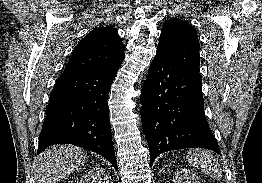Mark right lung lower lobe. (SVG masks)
<instances>
[{
	"label": "right lung lower lobe",
	"instance_id": "98d812e1",
	"mask_svg": "<svg viewBox=\"0 0 262 183\" xmlns=\"http://www.w3.org/2000/svg\"><path fill=\"white\" fill-rule=\"evenodd\" d=\"M117 70L60 75L50 93L38 154L54 144H74L102 155L118 169L107 104Z\"/></svg>",
	"mask_w": 262,
	"mask_h": 183
}]
</instances>
